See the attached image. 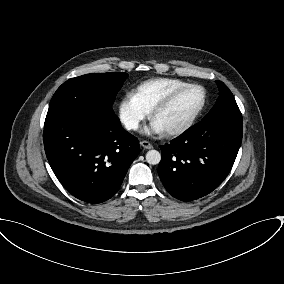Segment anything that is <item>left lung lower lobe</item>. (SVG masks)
I'll return each instance as SVG.
<instances>
[{"label":"left lung lower lobe","mask_w":284,"mask_h":284,"mask_svg":"<svg viewBox=\"0 0 284 284\" xmlns=\"http://www.w3.org/2000/svg\"><path fill=\"white\" fill-rule=\"evenodd\" d=\"M242 132V118L220 117L201 121L161 146L158 173L165 189L182 201L212 192L230 172Z\"/></svg>","instance_id":"left-lung-lower-lobe-1"}]
</instances>
